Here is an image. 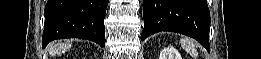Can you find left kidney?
<instances>
[{"instance_id":"1","label":"left kidney","mask_w":261,"mask_h":59,"mask_svg":"<svg viewBox=\"0 0 261 59\" xmlns=\"http://www.w3.org/2000/svg\"><path fill=\"white\" fill-rule=\"evenodd\" d=\"M159 59H182V57L175 48L167 47L161 51Z\"/></svg>"}]
</instances>
